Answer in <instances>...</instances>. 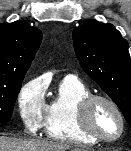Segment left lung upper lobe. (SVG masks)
Wrapping results in <instances>:
<instances>
[{
  "label": "left lung upper lobe",
  "instance_id": "1",
  "mask_svg": "<svg viewBox=\"0 0 131 151\" xmlns=\"http://www.w3.org/2000/svg\"><path fill=\"white\" fill-rule=\"evenodd\" d=\"M73 40L83 70L117 104L131 127V58L128 42L112 24L96 20L76 27Z\"/></svg>",
  "mask_w": 131,
  "mask_h": 151
}]
</instances>
